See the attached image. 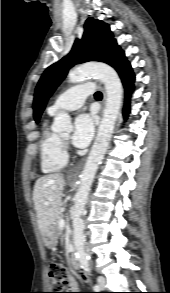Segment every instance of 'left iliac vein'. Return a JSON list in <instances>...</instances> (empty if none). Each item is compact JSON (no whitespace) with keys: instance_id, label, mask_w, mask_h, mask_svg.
<instances>
[{"instance_id":"left-iliac-vein-1","label":"left iliac vein","mask_w":170,"mask_h":293,"mask_svg":"<svg viewBox=\"0 0 170 293\" xmlns=\"http://www.w3.org/2000/svg\"><path fill=\"white\" fill-rule=\"evenodd\" d=\"M98 284L100 286V289H105V285H106V278L104 276H99L97 278Z\"/></svg>"}]
</instances>
